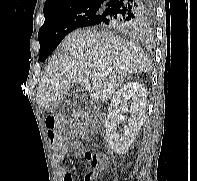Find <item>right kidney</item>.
<instances>
[{"label": "right kidney", "instance_id": "ca27d5eb", "mask_svg": "<svg viewBox=\"0 0 197 181\" xmlns=\"http://www.w3.org/2000/svg\"><path fill=\"white\" fill-rule=\"evenodd\" d=\"M146 103L147 90L139 81L124 84L113 96L105 120V133L106 141L114 152L124 154L128 151L143 125ZM127 111L131 116L124 129L118 133L117 127L122 122V113Z\"/></svg>", "mask_w": 197, "mask_h": 181}]
</instances>
